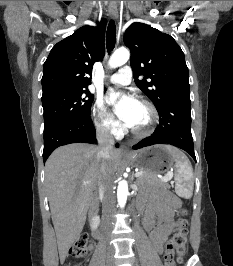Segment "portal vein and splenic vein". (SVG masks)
<instances>
[{
  "label": "portal vein and splenic vein",
  "mask_w": 233,
  "mask_h": 266,
  "mask_svg": "<svg viewBox=\"0 0 233 266\" xmlns=\"http://www.w3.org/2000/svg\"><path fill=\"white\" fill-rule=\"evenodd\" d=\"M141 175H142L141 172H136L135 173V177H140ZM172 176H173V173L172 172H168L164 177H161V181L167 182V181H169L172 178ZM89 184H90L89 181H85L83 183L84 186L89 185Z\"/></svg>",
  "instance_id": "obj_1"
}]
</instances>
